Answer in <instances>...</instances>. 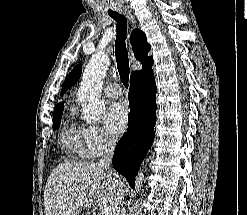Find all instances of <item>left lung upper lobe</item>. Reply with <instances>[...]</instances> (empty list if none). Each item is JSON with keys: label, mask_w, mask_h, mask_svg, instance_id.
<instances>
[{"label": "left lung upper lobe", "mask_w": 247, "mask_h": 215, "mask_svg": "<svg viewBox=\"0 0 247 215\" xmlns=\"http://www.w3.org/2000/svg\"><path fill=\"white\" fill-rule=\"evenodd\" d=\"M82 72V65L79 64L73 68V70L69 73L67 78L64 81L63 87L61 89V96L68 90L69 87H71L73 84H75Z\"/></svg>", "instance_id": "obj_1"}]
</instances>
